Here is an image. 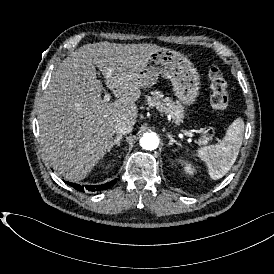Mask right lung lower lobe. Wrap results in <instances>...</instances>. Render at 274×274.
Here are the masks:
<instances>
[{"label":"right lung lower lobe","mask_w":274,"mask_h":274,"mask_svg":"<svg viewBox=\"0 0 274 274\" xmlns=\"http://www.w3.org/2000/svg\"><path fill=\"white\" fill-rule=\"evenodd\" d=\"M115 180L110 181L106 184H102V185H85V187L79 185V184H75V183H69L67 182V184H69L70 186H72L73 188H75L76 190H79L81 192H84L85 190L94 192V191H100V190H107L108 188H110L111 186H113L115 184Z\"/></svg>","instance_id":"98d812e1"}]
</instances>
